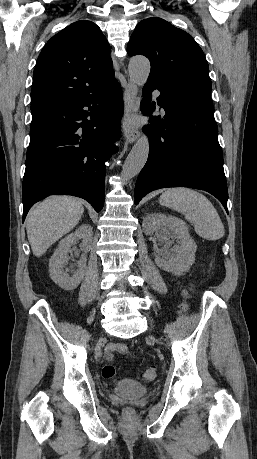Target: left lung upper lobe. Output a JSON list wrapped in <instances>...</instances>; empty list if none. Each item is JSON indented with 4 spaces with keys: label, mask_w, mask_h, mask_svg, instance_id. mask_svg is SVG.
<instances>
[{
    "label": "left lung upper lobe",
    "mask_w": 257,
    "mask_h": 459,
    "mask_svg": "<svg viewBox=\"0 0 257 459\" xmlns=\"http://www.w3.org/2000/svg\"><path fill=\"white\" fill-rule=\"evenodd\" d=\"M127 52L150 60L147 83L160 88L212 89L202 49L188 33L164 19L152 17L138 23Z\"/></svg>",
    "instance_id": "obj_1"
}]
</instances>
